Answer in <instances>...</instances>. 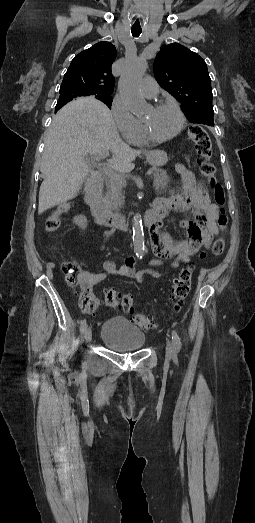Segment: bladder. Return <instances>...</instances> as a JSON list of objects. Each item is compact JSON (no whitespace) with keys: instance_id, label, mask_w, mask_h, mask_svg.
I'll return each mask as SVG.
<instances>
[{"instance_id":"bladder-1","label":"bladder","mask_w":255,"mask_h":523,"mask_svg":"<svg viewBox=\"0 0 255 523\" xmlns=\"http://www.w3.org/2000/svg\"><path fill=\"white\" fill-rule=\"evenodd\" d=\"M100 339L114 350L128 352L140 349L146 335L127 319H108L102 326Z\"/></svg>"}]
</instances>
